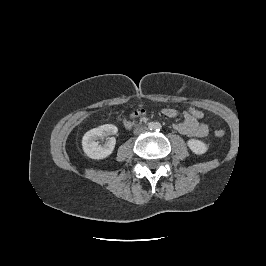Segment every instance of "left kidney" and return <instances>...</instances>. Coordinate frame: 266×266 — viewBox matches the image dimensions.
<instances>
[{
    "label": "left kidney",
    "instance_id": "1",
    "mask_svg": "<svg viewBox=\"0 0 266 266\" xmlns=\"http://www.w3.org/2000/svg\"><path fill=\"white\" fill-rule=\"evenodd\" d=\"M188 147L195 154H204L208 150V145L200 140L190 139L187 142Z\"/></svg>",
    "mask_w": 266,
    "mask_h": 266
}]
</instances>
